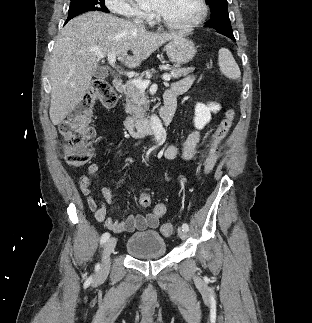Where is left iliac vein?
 <instances>
[{"label":"left iliac vein","mask_w":312,"mask_h":323,"mask_svg":"<svg viewBox=\"0 0 312 323\" xmlns=\"http://www.w3.org/2000/svg\"><path fill=\"white\" fill-rule=\"evenodd\" d=\"M178 235L182 240H185L187 238V231L183 228H179Z\"/></svg>","instance_id":"1"}]
</instances>
